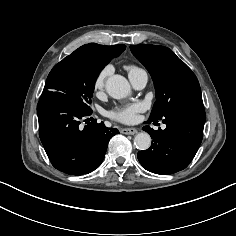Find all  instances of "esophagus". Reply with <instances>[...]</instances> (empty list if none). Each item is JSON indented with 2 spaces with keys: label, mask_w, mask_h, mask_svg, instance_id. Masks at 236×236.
<instances>
[{
  "label": "esophagus",
  "mask_w": 236,
  "mask_h": 236,
  "mask_svg": "<svg viewBox=\"0 0 236 236\" xmlns=\"http://www.w3.org/2000/svg\"><path fill=\"white\" fill-rule=\"evenodd\" d=\"M122 134H127V135H134L137 133V129L135 128H123L120 130Z\"/></svg>",
  "instance_id": "obj_1"
}]
</instances>
